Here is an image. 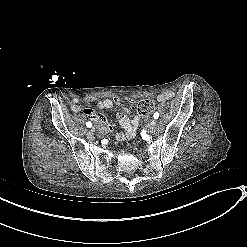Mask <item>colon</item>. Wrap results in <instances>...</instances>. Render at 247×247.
Instances as JSON below:
<instances>
[{"mask_svg": "<svg viewBox=\"0 0 247 247\" xmlns=\"http://www.w3.org/2000/svg\"><path fill=\"white\" fill-rule=\"evenodd\" d=\"M155 108V104L153 101L148 99L140 100L137 104L138 114L141 116H145L153 111Z\"/></svg>", "mask_w": 247, "mask_h": 247, "instance_id": "colon-1", "label": "colon"}]
</instances>
